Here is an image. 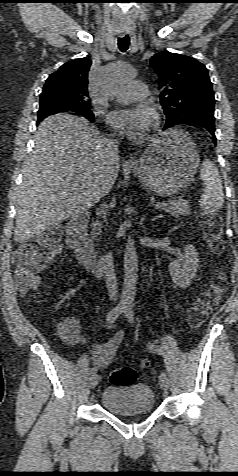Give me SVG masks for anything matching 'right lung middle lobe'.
Wrapping results in <instances>:
<instances>
[{"mask_svg":"<svg viewBox=\"0 0 238 476\" xmlns=\"http://www.w3.org/2000/svg\"><path fill=\"white\" fill-rule=\"evenodd\" d=\"M55 113H71L74 115H80L90 121H93L94 119V114L90 111V106L76 109H68L58 103L45 101L40 102V107L38 111V122L41 121L44 117Z\"/></svg>","mask_w":238,"mask_h":476,"instance_id":"dd1d6c3e","label":"right lung middle lobe"}]
</instances>
